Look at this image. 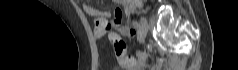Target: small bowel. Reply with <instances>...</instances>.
<instances>
[{"label":"small bowel","mask_w":238,"mask_h":70,"mask_svg":"<svg viewBox=\"0 0 238 70\" xmlns=\"http://www.w3.org/2000/svg\"><path fill=\"white\" fill-rule=\"evenodd\" d=\"M80 2L84 12L95 19L94 31L97 36H103L112 26H114L121 35L122 33H129V30L122 26V11L119 8L115 10L114 21L111 23L109 21L111 16L110 12L97 10L92 7L87 0H81Z\"/></svg>","instance_id":"small-bowel-1"}]
</instances>
